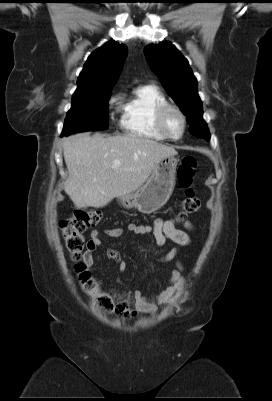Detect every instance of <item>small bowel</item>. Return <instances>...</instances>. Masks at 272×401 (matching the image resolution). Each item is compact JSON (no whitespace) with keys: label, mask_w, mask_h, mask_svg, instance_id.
<instances>
[{"label":"small bowel","mask_w":272,"mask_h":401,"mask_svg":"<svg viewBox=\"0 0 272 401\" xmlns=\"http://www.w3.org/2000/svg\"><path fill=\"white\" fill-rule=\"evenodd\" d=\"M179 219H161L158 218L152 225L130 223L125 228L117 227L105 229L102 232L111 238L123 237L126 233L134 235H152L158 247H163L167 241H172L180 247L190 244L189 234L182 229L177 228ZM187 230L192 228L189 221H183ZM101 231L93 230L87 243V250L83 256V264L87 268L94 265L95 251L101 246ZM179 252L178 248H173L162 256L163 260L174 259ZM108 257L116 262L119 272H124L126 263L121 260L119 253L115 249L108 250ZM182 266L170 274L167 285L153 296H144L140 291H131L124 294H116L118 304V315L123 318H134L137 313L153 312L158 304H170L176 300L178 292L183 288L185 280L182 275Z\"/></svg>","instance_id":"obj_1"}]
</instances>
